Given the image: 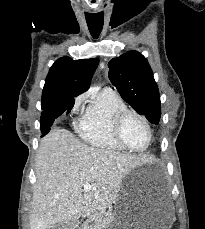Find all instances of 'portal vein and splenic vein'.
<instances>
[{"label": "portal vein and splenic vein", "mask_w": 205, "mask_h": 229, "mask_svg": "<svg viewBox=\"0 0 205 229\" xmlns=\"http://www.w3.org/2000/svg\"><path fill=\"white\" fill-rule=\"evenodd\" d=\"M94 189H95V187H93V186L90 185V184H85V185L83 186L84 192H89L90 190H94Z\"/></svg>", "instance_id": "portal-vein-and-splenic-vein-1"}]
</instances>
